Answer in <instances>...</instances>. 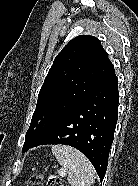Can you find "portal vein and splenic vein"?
Masks as SVG:
<instances>
[{"instance_id":"obj_1","label":"portal vein and splenic vein","mask_w":138,"mask_h":186,"mask_svg":"<svg viewBox=\"0 0 138 186\" xmlns=\"http://www.w3.org/2000/svg\"><path fill=\"white\" fill-rule=\"evenodd\" d=\"M59 174H60V176H66L67 175V171L66 170H60Z\"/></svg>"}]
</instances>
